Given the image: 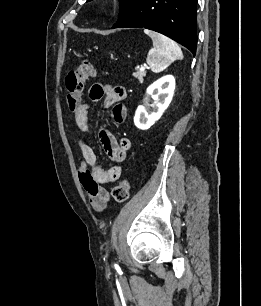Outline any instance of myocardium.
<instances>
[{"label": "myocardium", "mask_w": 261, "mask_h": 306, "mask_svg": "<svg viewBox=\"0 0 261 306\" xmlns=\"http://www.w3.org/2000/svg\"><path fill=\"white\" fill-rule=\"evenodd\" d=\"M117 0H105L103 3V6L107 10H112L116 7Z\"/></svg>", "instance_id": "f54148a6"}]
</instances>
